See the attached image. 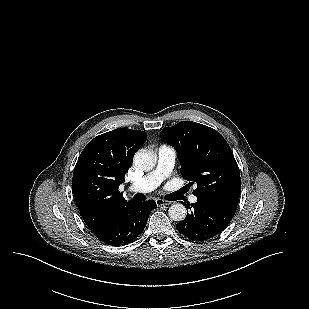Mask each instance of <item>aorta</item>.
Returning a JSON list of instances; mask_svg holds the SVG:
<instances>
[{
  "mask_svg": "<svg viewBox=\"0 0 309 309\" xmlns=\"http://www.w3.org/2000/svg\"><path fill=\"white\" fill-rule=\"evenodd\" d=\"M134 164L143 171H150L155 166L153 154L145 149H141L134 155ZM169 216L174 221H183L186 217V207L181 203L172 204L168 210Z\"/></svg>",
  "mask_w": 309,
  "mask_h": 309,
  "instance_id": "obj_1",
  "label": "aorta"
}]
</instances>
